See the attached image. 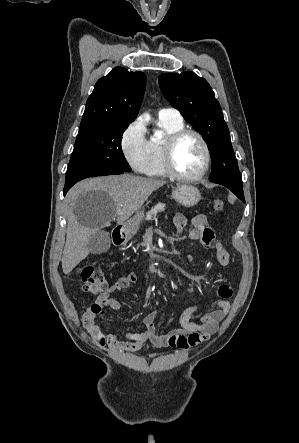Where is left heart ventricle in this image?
<instances>
[{"instance_id": "1", "label": "left heart ventricle", "mask_w": 299, "mask_h": 443, "mask_svg": "<svg viewBox=\"0 0 299 443\" xmlns=\"http://www.w3.org/2000/svg\"><path fill=\"white\" fill-rule=\"evenodd\" d=\"M204 151L199 140L193 136H185L174 152V164L184 175L197 174L203 165Z\"/></svg>"}]
</instances>
